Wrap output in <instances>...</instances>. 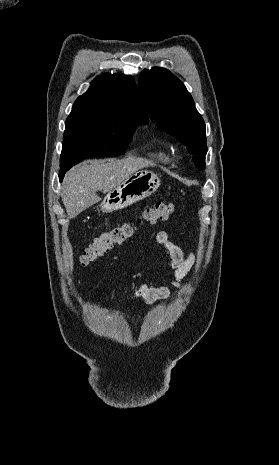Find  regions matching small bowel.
Masks as SVG:
<instances>
[{
    "label": "small bowel",
    "instance_id": "1",
    "mask_svg": "<svg viewBox=\"0 0 279 465\" xmlns=\"http://www.w3.org/2000/svg\"><path fill=\"white\" fill-rule=\"evenodd\" d=\"M156 240L168 252L171 258V266L174 269V276L171 284L181 288V281L190 271L195 263V254L189 251L187 255L176 244H174L165 231H159ZM170 289L168 286L153 287L149 285L140 286L131 296L132 301L152 304L158 300L165 299L169 296Z\"/></svg>",
    "mask_w": 279,
    "mask_h": 465
}]
</instances>
